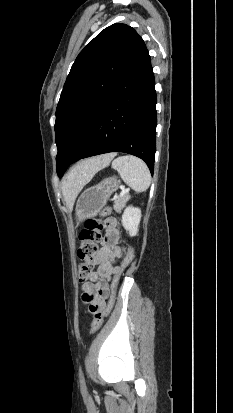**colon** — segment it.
Here are the masks:
<instances>
[{"label":"colon","mask_w":233,"mask_h":413,"mask_svg":"<svg viewBox=\"0 0 233 413\" xmlns=\"http://www.w3.org/2000/svg\"><path fill=\"white\" fill-rule=\"evenodd\" d=\"M107 213L108 209H104L101 212V215L104 216ZM103 227L104 224L100 218H88L84 223L83 229L79 233L81 244L77 250V255L83 261V263L79 266V276L82 280L90 279L94 273V262L98 251V243L102 238L101 232L103 230ZM133 257V250L128 249L121 263L119 274L114 281L112 293L108 301L104 305H100L99 308H92L89 304L90 310L94 313V318L90 328L91 334L96 333L101 328L105 318L111 312L116 299L118 279L121 273L131 263Z\"/></svg>","instance_id":"obj_1"}]
</instances>
